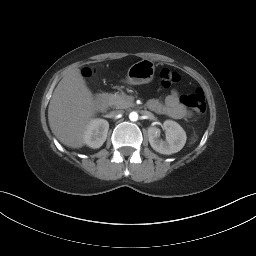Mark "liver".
Returning a JSON list of instances; mask_svg holds the SVG:
<instances>
[{
    "instance_id": "liver-1",
    "label": "liver",
    "mask_w": 256,
    "mask_h": 256,
    "mask_svg": "<svg viewBox=\"0 0 256 256\" xmlns=\"http://www.w3.org/2000/svg\"><path fill=\"white\" fill-rule=\"evenodd\" d=\"M96 112V102L80 69L70 70L58 83L49 103L52 133L64 145L81 148L86 128Z\"/></svg>"
}]
</instances>
